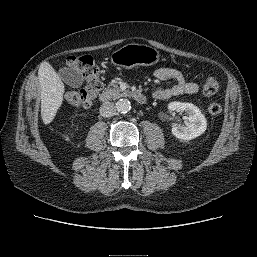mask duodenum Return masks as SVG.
<instances>
[{
    "label": "duodenum",
    "instance_id": "obj_1",
    "mask_svg": "<svg viewBox=\"0 0 257 257\" xmlns=\"http://www.w3.org/2000/svg\"><path fill=\"white\" fill-rule=\"evenodd\" d=\"M132 97L135 99V101H136L138 104H141V105H142V104H145V103H146V100H147L145 94H143V93L140 92V91H136V92L132 93ZM108 100H109L108 95L102 94V95L100 96V101H101L102 103H107Z\"/></svg>",
    "mask_w": 257,
    "mask_h": 257
}]
</instances>
